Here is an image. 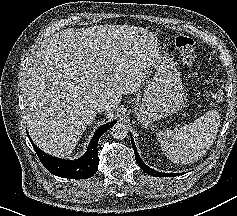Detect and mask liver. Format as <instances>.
Returning a JSON list of instances; mask_svg holds the SVG:
<instances>
[{"label": "liver", "instance_id": "1", "mask_svg": "<svg viewBox=\"0 0 237 216\" xmlns=\"http://www.w3.org/2000/svg\"><path fill=\"white\" fill-rule=\"evenodd\" d=\"M114 27L69 28L45 41L26 70L25 119L33 141L56 154L75 149L97 119L99 100L117 107L141 90L146 69L120 61ZM114 111H104L107 119Z\"/></svg>", "mask_w": 237, "mask_h": 216}]
</instances>
